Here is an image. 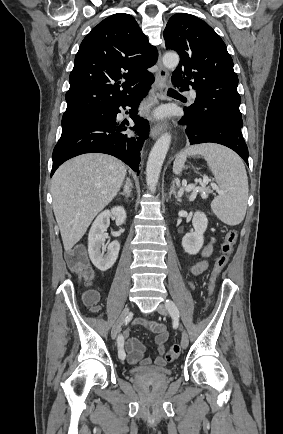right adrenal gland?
<instances>
[{
    "mask_svg": "<svg viewBox=\"0 0 283 434\" xmlns=\"http://www.w3.org/2000/svg\"><path fill=\"white\" fill-rule=\"evenodd\" d=\"M132 188H133V184H132L130 178L128 177L126 179V182L124 185V190L122 193H120V195L125 196L126 198H129L131 196Z\"/></svg>",
    "mask_w": 283,
    "mask_h": 434,
    "instance_id": "obj_1",
    "label": "right adrenal gland"
}]
</instances>
